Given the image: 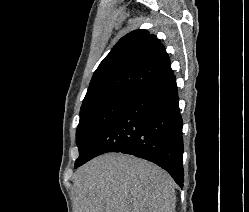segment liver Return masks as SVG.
I'll return each instance as SVG.
<instances>
[{
	"mask_svg": "<svg viewBox=\"0 0 249 212\" xmlns=\"http://www.w3.org/2000/svg\"><path fill=\"white\" fill-rule=\"evenodd\" d=\"M173 178L152 162L103 154L74 176L75 212H175Z\"/></svg>",
	"mask_w": 249,
	"mask_h": 212,
	"instance_id": "6515ba94",
	"label": "liver"
}]
</instances>
